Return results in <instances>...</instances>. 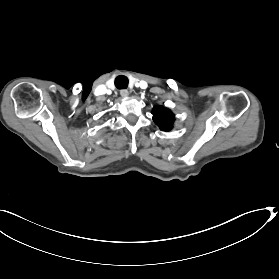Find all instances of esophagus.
I'll return each instance as SVG.
<instances>
[{"label": "esophagus", "mask_w": 279, "mask_h": 279, "mask_svg": "<svg viewBox=\"0 0 279 279\" xmlns=\"http://www.w3.org/2000/svg\"><path fill=\"white\" fill-rule=\"evenodd\" d=\"M120 94H121L122 97H126V96L129 95V92H128L126 89H122V90L120 91Z\"/></svg>", "instance_id": "obj_1"}]
</instances>
